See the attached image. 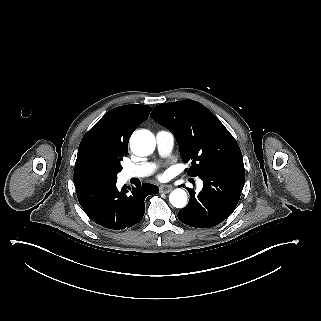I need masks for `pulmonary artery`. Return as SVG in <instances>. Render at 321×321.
Returning a JSON list of instances; mask_svg holds the SVG:
<instances>
[{
  "label": "pulmonary artery",
  "instance_id": "e3ab8cb5",
  "mask_svg": "<svg viewBox=\"0 0 321 321\" xmlns=\"http://www.w3.org/2000/svg\"><path fill=\"white\" fill-rule=\"evenodd\" d=\"M158 150L161 154H168L174 146V134L170 130L161 129L156 134ZM155 166L150 162H141L124 167L119 174L121 181L131 178H145L153 173ZM201 184V181H199Z\"/></svg>",
  "mask_w": 321,
  "mask_h": 321
}]
</instances>
